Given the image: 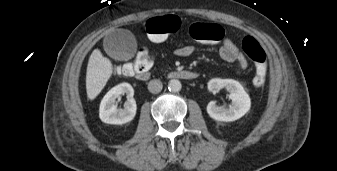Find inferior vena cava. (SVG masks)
I'll return each instance as SVG.
<instances>
[{"instance_id": "obj_1", "label": "inferior vena cava", "mask_w": 337, "mask_h": 171, "mask_svg": "<svg viewBox=\"0 0 337 171\" xmlns=\"http://www.w3.org/2000/svg\"><path fill=\"white\" fill-rule=\"evenodd\" d=\"M162 88V82L158 79L151 80L148 84V90L153 94L159 93Z\"/></svg>"}]
</instances>
